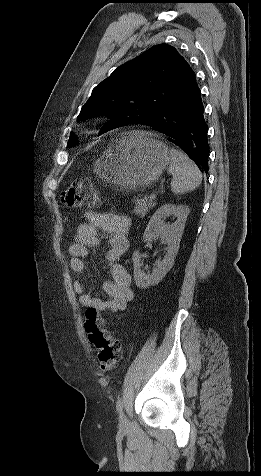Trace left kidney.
Wrapping results in <instances>:
<instances>
[{
    "label": "left kidney",
    "instance_id": "obj_1",
    "mask_svg": "<svg viewBox=\"0 0 261 476\" xmlns=\"http://www.w3.org/2000/svg\"><path fill=\"white\" fill-rule=\"evenodd\" d=\"M188 214V206L165 204L152 215L145 229L143 240L149 242L159 237L167 244V253L162 261L155 263L152 273H145L141 269V253L139 251L133 253L134 280L137 287L145 289L151 285H157L172 268ZM170 215L177 217V220L174 224L167 225L164 219Z\"/></svg>",
    "mask_w": 261,
    "mask_h": 476
}]
</instances>
